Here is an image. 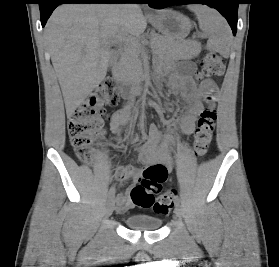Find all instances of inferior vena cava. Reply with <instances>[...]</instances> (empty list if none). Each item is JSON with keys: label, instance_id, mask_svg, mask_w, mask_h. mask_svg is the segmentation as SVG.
I'll use <instances>...</instances> for the list:
<instances>
[{"label": "inferior vena cava", "instance_id": "1", "mask_svg": "<svg viewBox=\"0 0 279 267\" xmlns=\"http://www.w3.org/2000/svg\"><path fill=\"white\" fill-rule=\"evenodd\" d=\"M125 7L128 9H135L138 7V5L135 3H129V4H126Z\"/></svg>", "mask_w": 279, "mask_h": 267}]
</instances>
